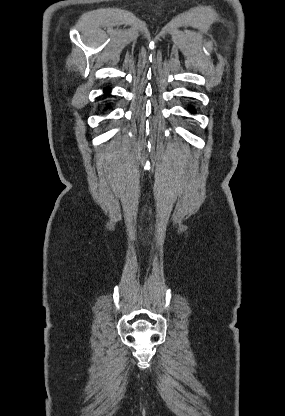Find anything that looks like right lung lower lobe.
Masks as SVG:
<instances>
[{"label": "right lung lower lobe", "mask_w": 285, "mask_h": 416, "mask_svg": "<svg viewBox=\"0 0 285 416\" xmlns=\"http://www.w3.org/2000/svg\"><path fill=\"white\" fill-rule=\"evenodd\" d=\"M106 93H108L109 92V89H106V91H105Z\"/></svg>", "instance_id": "right-lung-lower-lobe-1"}]
</instances>
